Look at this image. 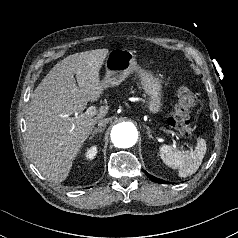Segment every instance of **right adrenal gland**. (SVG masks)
<instances>
[{
    "label": "right adrenal gland",
    "mask_w": 238,
    "mask_h": 238,
    "mask_svg": "<svg viewBox=\"0 0 238 238\" xmlns=\"http://www.w3.org/2000/svg\"><path fill=\"white\" fill-rule=\"evenodd\" d=\"M103 130H104V128H96V129H94L93 130V132L91 133V136L89 137V140H91L94 136H95V134H97V132H103Z\"/></svg>",
    "instance_id": "obj_1"
}]
</instances>
